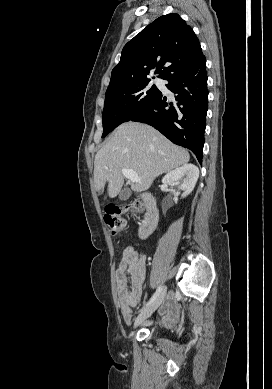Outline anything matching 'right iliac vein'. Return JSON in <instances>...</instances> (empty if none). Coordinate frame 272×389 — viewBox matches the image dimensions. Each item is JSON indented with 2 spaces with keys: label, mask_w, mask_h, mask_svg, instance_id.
<instances>
[{
  "label": "right iliac vein",
  "mask_w": 272,
  "mask_h": 389,
  "mask_svg": "<svg viewBox=\"0 0 272 389\" xmlns=\"http://www.w3.org/2000/svg\"><path fill=\"white\" fill-rule=\"evenodd\" d=\"M167 289L163 287L160 295L155 299V301L150 304L147 308H145L135 319L134 327L140 325L144 320L152 315V313L161 305L163 302Z\"/></svg>",
  "instance_id": "1"
}]
</instances>
